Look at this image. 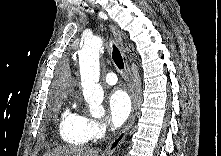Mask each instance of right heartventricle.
I'll return each instance as SVG.
<instances>
[{"label": "right heart ventricle", "instance_id": "right-heart-ventricle-1", "mask_svg": "<svg viewBox=\"0 0 221 156\" xmlns=\"http://www.w3.org/2000/svg\"><path fill=\"white\" fill-rule=\"evenodd\" d=\"M59 134L71 146H83L89 141L84 130L83 117L68 108L61 115Z\"/></svg>", "mask_w": 221, "mask_h": 156}]
</instances>
